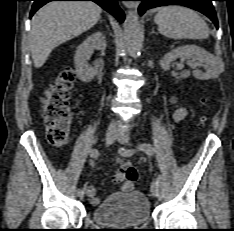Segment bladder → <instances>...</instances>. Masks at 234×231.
I'll return each instance as SVG.
<instances>
[{"label": "bladder", "instance_id": "1", "mask_svg": "<svg viewBox=\"0 0 234 231\" xmlns=\"http://www.w3.org/2000/svg\"><path fill=\"white\" fill-rule=\"evenodd\" d=\"M151 217L150 202L139 191L117 193L96 205L91 219L98 224L109 226H137Z\"/></svg>", "mask_w": 234, "mask_h": 231}]
</instances>
